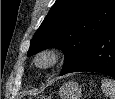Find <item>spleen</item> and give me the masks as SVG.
Here are the masks:
<instances>
[{"label":"spleen","mask_w":115,"mask_h":99,"mask_svg":"<svg viewBox=\"0 0 115 99\" xmlns=\"http://www.w3.org/2000/svg\"><path fill=\"white\" fill-rule=\"evenodd\" d=\"M101 87L106 96H109L110 99H115V80L104 78Z\"/></svg>","instance_id":"3e777b00"}]
</instances>
